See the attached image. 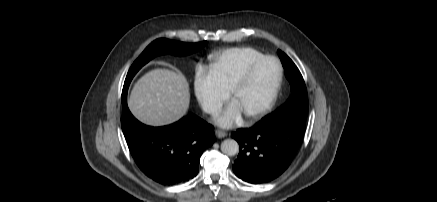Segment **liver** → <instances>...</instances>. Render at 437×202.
I'll list each match as a JSON object with an SVG mask.
<instances>
[{"label": "liver", "instance_id": "6515ba94", "mask_svg": "<svg viewBox=\"0 0 437 202\" xmlns=\"http://www.w3.org/2000/svg\"><path fill=\"white\" fill-rule=\"evenodd\" d=\"M189 102V84L182 73L154 69L135 83L128 107L140 122L163 126L179 120L187 112Z\"/></svg>", "mask_w": 437, "mask_h": 202}]
</instances>
